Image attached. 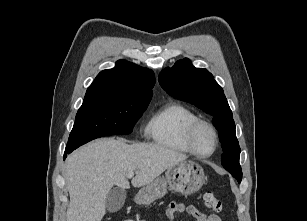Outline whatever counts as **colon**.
Returning <instances> with one entry per match:
<instances>
[{
  "mask_svg": "<svg viewBox=\"0 0 307 221\" xmlns=\"http://www.w3.org/2000/svg\"><path fill=\"white\" fill-rule=\"evenodd\" d=\"M204 203L205 206L212 211L220 212L222 209L221 201L210 191L204 194Z\"/></svg>",
  "mask_w": 307,
  "mask_h": 221,
  "instance_id": "obj_1",
  "label": "colon"
}]
</instances>
